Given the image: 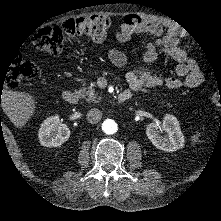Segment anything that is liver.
<instances>
[{
	"instance_id": "liver-1",
	"label": "liver",
	"mask_w": 221,
	"mask_h": 221,
	"mask_svg": "<svg viewBox=\"0 0 221 221\" xmlns=\"http://www.w3.org/2000/svg\"><path fill=\"white\" fill-rule=\"evenodd\" d=\"M30 106L31 99L17 92L6 93L1 103L4 113L16 127H20L26 122L31 112Z\"/></svg>"
}]
</instances>
